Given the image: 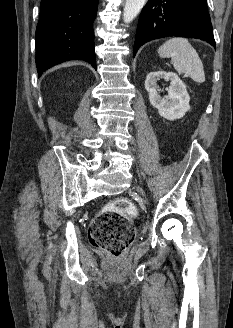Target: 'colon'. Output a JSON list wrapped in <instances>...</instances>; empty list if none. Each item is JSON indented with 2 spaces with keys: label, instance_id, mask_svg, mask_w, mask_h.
<instances>
[{
  "label": "colon",
  "instance_id": "1",
  "mask_svg": "<svg viewBox=\"0 0 233 328\" xmlns=\"http://www.w3.org/2000/svg\"><path fill=\"white\" fill-rule=\"evenodd\" d=\"M136 214V207L127 198L108 203L90 224V243L115 258L123 256L134 239L131 219Z\"/></svg>",
  "mask_w": 233,
  "mask_h": 328
}]
</instances>
